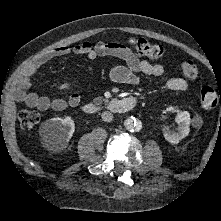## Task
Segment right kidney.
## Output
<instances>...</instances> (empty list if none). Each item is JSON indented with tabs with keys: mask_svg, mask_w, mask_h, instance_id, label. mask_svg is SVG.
Here are the masks:
<instances>
[{
	"mask_svg": "<svg viewBox=\"0 0 221 221\" xmlns=\"http://www.w3.org/2000/svg\"><path fill=\"white\" fill-rule=\"evenodd\" d=\"M75 131L74 121L70 117L51 118L40 126V135L44 145L53 152L66 148Z\"/></svg>",
	"mask_w": 221,
	"mask_h": 221,
	"instance_id": "1",
	"label": "right kidney"
}]
</instances>
